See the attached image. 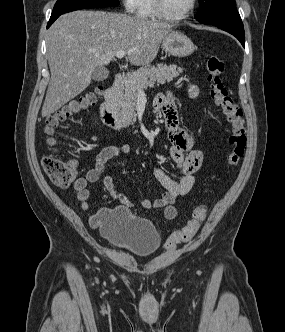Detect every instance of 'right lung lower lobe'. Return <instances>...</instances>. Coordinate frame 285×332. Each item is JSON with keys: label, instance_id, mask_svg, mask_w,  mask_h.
I'll return each mask as SVG.
<instances>
[{"label": "right lung lower lobe", "instance_id": "1", "mask_svg": "<svg viewBox=\"0 0 285 332\" xmlns=\"http://www.w3.org/2000/svg\"><path fill=\"white\" fill-rule=\"evenodd\" d=\"M61 14H52L50 20L47 24V28L52 25V23L60 16Z\"/></svg>", "mask_w": 285, "mask_h": 332}]
</instances>
